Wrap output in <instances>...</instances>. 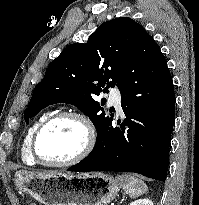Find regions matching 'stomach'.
Segmentation results:
<instances>
[{
  "instance_id": "1",
  "label": "stomach",
  "mask_w": 199,
  "mask_h": 205,
  "mask_svg": "<svg viewBox=\"0 0 199 205\" xmlns=\"http://www.w3.org/2000/svg\"><path fill=\"white\" fill-rule=\"evenodd\" d=\"M14 182L19 191L44 205H107L119 191V182L102 172L31 175L20 171Z\"/></svg>"
}]
</instances>
